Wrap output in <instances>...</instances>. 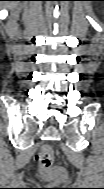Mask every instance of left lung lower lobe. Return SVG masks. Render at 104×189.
<instances>
[{
	"label": "left lung lower lobe",
	"mask_w": 104,
	"mask_h": 189,
	"mask_svg": "<svg viewBox=\"0 0 104 189\" xmlns=\"http://www.w3.org/2000/svg\"><path fill=\"white\" fill-rule=\"evenodd\" d=\"M90 1H104V0H90Z\"/></svg>",
	"instance_id": "left-lung-lower-lobe-1"
}]
</instances>
